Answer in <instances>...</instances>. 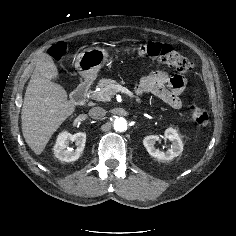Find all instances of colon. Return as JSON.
<instances>
[{"mask_svg": "<svg viewBox=\"0 0 236 236\" xmlns=\"http://www.w3.org/2000/svg\"><path fill=\"white\" fill-rule=\"evenodd\" d=\"M137 54L145 63H162L173 67L179 73H187L192 69V62L171 45L162 43H148L137 48ZM65 53V46L58 44L50 49V54L56 59H60ZM190 114L200 126H205L209 122V113L205 106L200 104H191L189 106Z\"/></svg>", "mask_w": 236, "mask_h": 236, "instance_id": "1", "label": "colon"}]
</instances>
